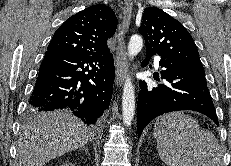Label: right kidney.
Masks as SVG:
<instances>
[{"label": "right kidney", "mask_w": 231, "mask_h": 166, "mask_svg": "<svg viewBox=\"0 0 231 166\" xmlns=\"http://www.w3.org/2000/svg\"><path fill=\"white\" fill-rule=\"evenodd\" d=\"M60 166H74V164L69 163V162H65V163H63V164L60 165Z\"/></svg>", "instance_id": "ca27d5eb"}]
</instances>
